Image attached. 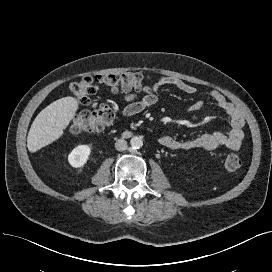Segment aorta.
Returning a JSON list of instances; mask_svg holds the SVG:
<instances>
[{"mask_svg": "<svg viewBox=\"0 0 272 272\" xmlns=\"http://www.w3.org/2000/svg\"><path fill=\"white\" fill-rule=\"evenodd\" d=\"M130 145L133 149H139L143 146V140L141 136H134L130 140Z\"/></svg>", "mask_w": 272, "mask_h": 272, "instance_id": "aorta-1", "label": "aorta"}]
</instances>
